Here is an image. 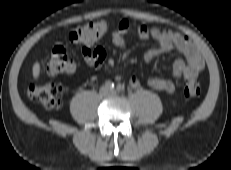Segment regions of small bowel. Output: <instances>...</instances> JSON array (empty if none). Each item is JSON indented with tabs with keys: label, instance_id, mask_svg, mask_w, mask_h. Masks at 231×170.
Returning a JSON list of instances; mask_svg holds the SVG:
<instances>
[{
	"label": "small bowel",
	"instance_id": "1",
	"mask_svg": "<svg viewBox=\"0 0 231 170\" xmlns=\"http://www.w3.org/2000/svg\"><path fill=\"white\" fill-rule=\"evenodd\" d=\"M132 33L136 34L141 40L152 39L159 45L158 48L148 50L145 53L146 60H151L173 50H177L184 56L185 60L177 59L173 63L172 73L175 79L194 80L204 68L201 53L188 37L171 30H160L156 27H147L141 24L134 25L126 18L119 22L117 30L112 34L113 44L120 51H124L126 49L125 36ZM82 51L86 63L93 67L100 66L105 58V51L101 48L91 49L88 45H84ZM115 78L119 80L120 76L116 75ZM147 84L155 90L167 93H173L176 88L174 81L158 76L148 78ZM130 85L138 87L139 80L132 77Z\"/></svg>",
	"mask_w": 231,
	"mask_h": 170
}]
</instances>
